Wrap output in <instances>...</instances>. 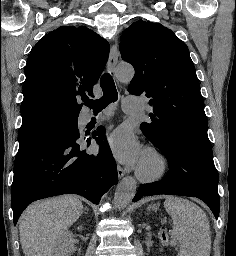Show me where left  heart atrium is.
<instances>
[{"instance_id": "1", "label": "left heart atrium", "mask_w": 236, "mask_h": 256, "mask_svg": "<svg viewBox=\"0 0 236 256\" xmlns=\"http://www.w3.org/2000/svg\"><path fill=\"white\" fill-rule=\"evenodd\" d=\"M106 145L113 156L121 163L134 166L140 163L144 148L134 132L121 126L106 138Z\"/></svg>"}]
</instances>
